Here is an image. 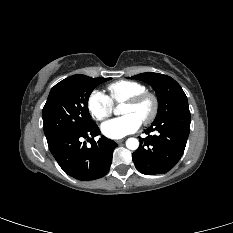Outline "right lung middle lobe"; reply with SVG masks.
Wrapping results in <instances>:
<instances>
[{"label":"right lung middle lobe","mask_w":233,"mask_h":233,"mask_svg":"<svg viewBox=\"0 0 233 233\" xmlns=\"http://www.w3.org/2000/svg\"><path fill=\"white\" fill-rule=\"evenodd\" d=\"M110 79L73 75L56 84L43 108L46 138L82 131L95 124L88 111V99L95 87Z\"/></svg>","instance_id":"1"}]
</instances>
